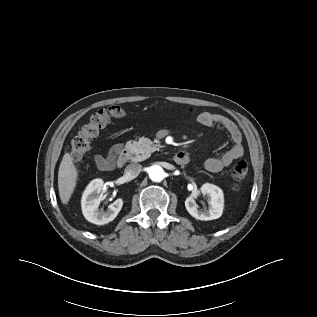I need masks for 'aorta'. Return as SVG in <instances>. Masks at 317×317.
Segmentation results:
<instances>
[{
	"instance_id": "762f6f07",
	"label": "aorta",
	"mask_w": 317,
	"mask_h": 317,
	"mask_svg": "<svg viewBox=\"0 0 317 317\" xmlns=\"http://www.w3.org/2000/svg\"><path fill=\"white\" fill-rule=\"evenodd\" d=\"M149 177L152 181L160 182L164 179V170L161 166L153 165L149 169Z\"/></svg>"
}]
</instances>
